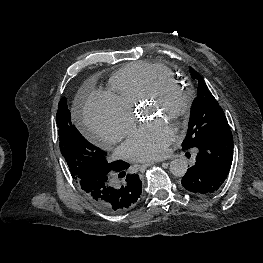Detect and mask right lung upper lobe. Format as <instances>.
I'll return each mask as SVG.
<instances>
[{
	"label": "right lung upper lobe",
	"instance_id": "1",
	"mask_svg": "<svg viewBox=\"0 0 263 263\" xmlns=\"http://www.w3.org/2000/svg\"><path fill=\"white\" fill-rule=\"evenodd\" d=\"M133 206L128 205V206H125V207H121V208H117L115 210H112L111 212L112 213H121V212L127 211L128 209L132 208Z\"/></svg>",
	"mask_w": 263,
	"mask_h": 263
}]
</instances>
